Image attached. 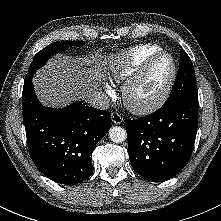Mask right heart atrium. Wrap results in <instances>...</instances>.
Returning a JSON list of instances; mask_svg holds the SVG:
<instances>
[{
  "mask_svg": "<svg viewBox=\"0 0 221 221\" xmlns=\"http://www.w3.org/2000/svg\"><path fill=\"white\" fill-rule=\"evenodd\" d=\"M105 89L111 91V86L109 84H105Z\"/></svg>",
  "mask_w": 221,
  "mask_h": 221,
  "instance_id": "1",
  "label": "right heart atrium"
}]
</instances>
